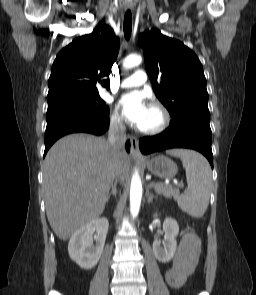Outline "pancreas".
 <instances>
[{"label": "pancreas", "instance_id": "obj_1", "mask_svg": "<svg viewBox=\"0 0 256 295\" xmlns=\"http://www.w3.org/2000/svg\"><path fill=\"white\" fill-rule=\"evenodd\" d=\"M149 187L154 188L157 194L163 195L166 198L173 197L175 200H177L180 196L178 189L171 185H165L161 182H152L150 183Z\"/></svg>", "mask_w": 256, "mask_h": 295}]
</instances>
